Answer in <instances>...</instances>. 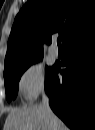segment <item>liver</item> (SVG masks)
<instances>
[{
  "mask_svg": "<svg viewBox=\"0 0 95 130\" xmlns=\"http://www.w3.org/2000/svg\"><path fill=\"white\" fill-rule=\"evenodd\" d=\"M4 130H68L65 124L54 115L49 118L41 105L13 109L8 114Z\"/></svg>",
  "mask_w": 95,
  "mask_h": 130,
  "instance_id": "obj_1",
  "label": "liver"
}]
</instances>
